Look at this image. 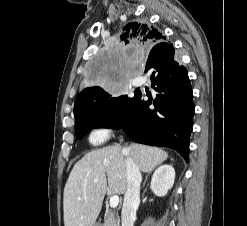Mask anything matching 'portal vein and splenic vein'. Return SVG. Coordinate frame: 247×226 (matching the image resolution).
Segmentation results:
<instances>
[{"label": "portal vein and splenic vein", "instance_id": "18ae733b", "mask_svg": "<svg viewBox=\"0 0 247 226\" xmlns=\"http://www.w3.org/2000/svg\"><path fill=\"white\" fill-rule=\"evenodd\" d=\"M94 182L97 183L98 180L95 179ZM118 204H119V196H118V195L112 196V197L110 198V207H111V208H115V207L118 206Z\"/></svg>", "mask_w": 247, "mask_h": 226}]
</instances>
